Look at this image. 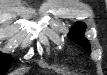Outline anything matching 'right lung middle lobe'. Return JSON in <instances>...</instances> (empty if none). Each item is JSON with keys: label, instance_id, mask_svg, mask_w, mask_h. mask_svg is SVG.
I'll list each match as a JSON object with an SVG mask.
<instances>
[{"label": "right lung middle lobe", "instance_id": "dd1d6c3e", "mask_svg": "<svg viewBox=\"0 0 107 75\" xmlns=\"http://www.w3.org/2000/svg\"><path fill=\"white\" fill-rule=\"evenodd\" d=\"M11 67V55L0 54V74H3Z\"/></svg>", "mask_w": 107, "mask_h": 75}]
</instances>
